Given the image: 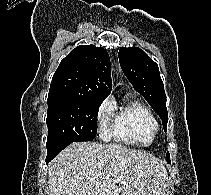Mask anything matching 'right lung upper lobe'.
<instances>
[{
    "instance_id": "right-lung-upper-lobe-1",
    "label": "right lung upper lobe",
    "mask_w": 211,
    "mask_h": 195,
    "mask_svg": "<svg viewBox=\"0 0 211 195\" xmlns=\"http://www.w3.org/2000/svg\"><path fill=\"white\" fill-rule=\"evenodd\" d=\"M110 58L94 45L76 47L53 75L48 95L104 100L111 92Z\"/></svg>"
}]
</instances>
